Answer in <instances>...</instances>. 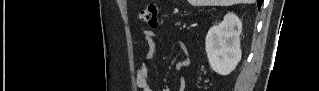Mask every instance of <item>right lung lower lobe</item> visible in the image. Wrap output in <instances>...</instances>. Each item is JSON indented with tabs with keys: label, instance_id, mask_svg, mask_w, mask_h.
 I'll use <instances>...</instances> for the list:
<instances>
[{
	"label": "right lung lower lobe",
	"instance_id": "98d812e1",
	"mask_svg": "<svg viewBox=\"0 0 319 91\" xmlns=\"http://www.w3.org/2000/svg\"><path fill=\"white\" fill-rule=\"evenodd\" d=\"M262 2H263V0H257L258 8H260V6H261Z\"/></svg>",
	"mask_w": 319,
	"mask_h": 91
}]
</instances>
